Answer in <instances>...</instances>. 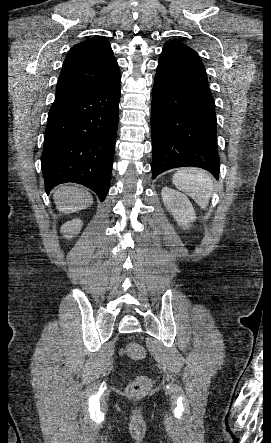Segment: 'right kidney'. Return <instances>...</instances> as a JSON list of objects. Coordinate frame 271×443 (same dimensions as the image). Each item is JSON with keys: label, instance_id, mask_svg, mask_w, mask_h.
Returning a JSON list of instances; mask_svg holds the SVG:
<instances>
[{"label": "right kidney", "instance_id": "1", "mask_svg": "<svg viewBox=\"0 0 271 443\" xmlns=\"http://www.w3.org/2000/svg\"><path fill=\"white\" fill-rule=\"evenodd\" d=\"M83 223L82 220H71V222H65L61 225V233H64L67 239L72 237L73 233H80V229Z\"/></svg>", "mask_w": 271, "mask_h": 443}]
</instances>
